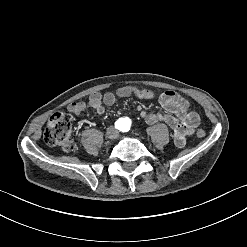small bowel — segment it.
Masks as SVG:
<instances>
[{
  "label": "small bowel",
  "instance_id": "small-bowel-1",
  "mask_svg": "<svg viewBox=\"0 0 247 247\" xmlns=\"http://www.w3.org/2000/svg\"><path fill=\"white\" fill-rule=\"evenodd\" d=\"M138 86L125 85L116 89L115 93H94L87 101H77L68 105V111L74 115L93 109L98 114L105 111V107L113 106L117 97H134L141 100L137 95ZM160 105L168 112L153 113L138 108L141 119L147 124L163 122L173 130L174 143L177 148L186 145L187 136L200 126V115L197 112L189 114L188 102L173 91L162 93L158 97ZM189 114V115H188Z\"/></svg>",
  "mask_w": 247,
  "mask_h": 247
}]
</instances>
